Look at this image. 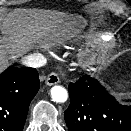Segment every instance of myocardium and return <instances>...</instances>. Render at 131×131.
Segmentation results:
<instances>
[{
    "mask_svg": "<svg viewBox=\"0 0 131 131\" xmlns=\"http://www.w3.org/2000/svg\"><path fill=\"white\" fill-rule=\"evenodd\" d=\"M113 49V44L107 43L94 51H85L79 54V61L85 67L100 64L107 58Z\"/></svg>",
    "mask_w": 131,
    "mask_h": 131,
    "instance_id": "obj_1",
    "label": "myocardium"
}]
</instances>
